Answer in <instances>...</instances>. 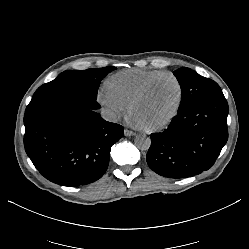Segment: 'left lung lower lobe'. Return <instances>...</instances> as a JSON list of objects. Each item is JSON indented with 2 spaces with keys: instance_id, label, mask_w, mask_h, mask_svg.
I'll return each instance as SVG.
<instances>
[{
  "instance_id": "left-lung-lower-lobe-1",
  "label": "left lung lower lobe",
  "mask_w": 249,
  "mask_h": 249,
  "mask_svg": "<svg viewBox=\"0 0 249 249\" xmlns=\"http://www.w3.org/2000/svg\"><path fill=\"white\" fill-rule=\"evenodd\" d=\"M228 112L224 95L200 99L178 110L167 129L151 135L146 156L149 167L169 178L208 170L227 142Z\"/></svg>"
}]
</instances>
